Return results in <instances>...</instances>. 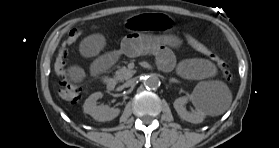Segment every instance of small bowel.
<instances>
[{
  "instance_id": "obj_1",
  "label": "small bowel",
  "mask_w": 279,
  "mask_h": 148,
  "mask_svg": "<svg viewBox=\"0 0 279 148\" xmlns=\"http://www.w3.org/2000/svg\"><path fill=\"white\" fill-rule=\"evenodd\" d=\"M180 43V40L174 36H149L134 33L123 39L119 50L101 55L105 38L101 34H94L87 37L81 43L80 48L83 55L96 58L92 66L94 74L114 63L121 55L137 57L146 53L154 54L159 67L167 71L172 69L175 64L171 48L178 46ZM178 70L181 75L191 79H204L216 73L215 66L204 59L186 60L179 65ZM68 73L76 82L83 79V70L78 66H70Z\"/></svg>"
}]
</instances>
